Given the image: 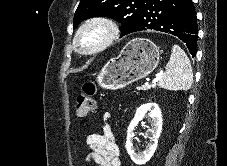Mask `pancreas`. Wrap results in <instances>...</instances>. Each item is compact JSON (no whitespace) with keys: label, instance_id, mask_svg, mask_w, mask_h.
Segmentation results:
<instances>
[{"label":"pancreas","instance_id":"1","mask_svg":"<svg viewBox=\"0 0 227 166\" xmlns=\"http://www.w3.org/2000/svg\"><path fill=\"white\" fill-rule=\"evenodd\" d=\"M154 87H155V85H148V86L142 85L140 87H137V90H149V89L154 88Z\"/></svg>","mask_w":227,"mask_h":166}]
</instances>
